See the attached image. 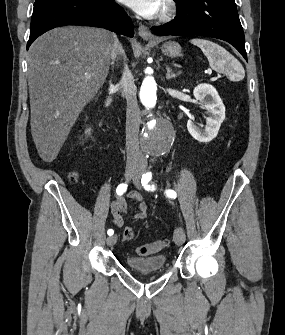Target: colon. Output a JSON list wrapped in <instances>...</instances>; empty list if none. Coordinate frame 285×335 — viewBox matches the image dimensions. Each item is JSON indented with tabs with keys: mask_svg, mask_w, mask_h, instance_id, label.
<instances>
[{
	"mask_svg": "<svg viewBox=\"0 0 285 335\" xmlns=\"http://www.w3.org/2000/svg\"><path fill=\"white\" fill-rule=\"evenodd\" d=\"M71 180H75L76 176L74 174L71 175ZM134 238V230L131 227H126L123 231V240L131 241ZM168 245L167 240H157L151 244L140 245L136 248V253L139 256H146L153 253H158L163 250Z\"/></svg>",
	"mask_w": 285,
	"mask_h": 335,
	"instance_id": "5ec220e1",
	"label": "colon"
}]
</instances>
